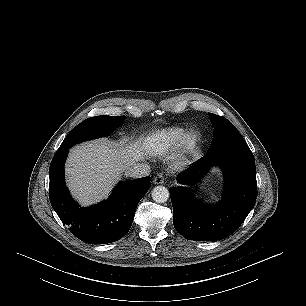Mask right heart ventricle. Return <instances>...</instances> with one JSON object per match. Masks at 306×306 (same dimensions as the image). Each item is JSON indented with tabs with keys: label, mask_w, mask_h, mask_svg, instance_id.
Masks as SVG:
<instances>
[{
	"label": "right heart ventricle",
	"mask_w": 306,
	"mask_h": 306,
	"mask_svg": "<svg viewBox=\"0 0 306 306\" xmlns=\"http://www.w3.org/2000/svg\"><path fill=\"white\" fill-rule=\"evenodd\" d=\"M185 133L183 127H171L159 133L153 140L154 147L159 151H166L180 144Z\"/></svg>",
	"instance_id": "e07e8e85"
}]
</instances>
